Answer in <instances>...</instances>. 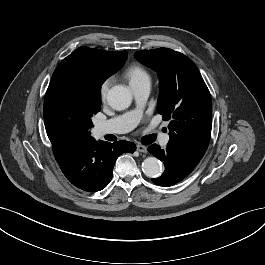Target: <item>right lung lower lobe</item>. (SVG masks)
<instances>
[{"label":"right lung lower lobe","instance_id":"obj_1","mask_svg":"<svg viewBox=\"0 0 265 265\" xmlns=\"http://www.w3.org/2000/svg\"><path fill=\"white\" fill-rule=\"evenodd\" d=\"M132 142L86 141L67 160L59 163L67 179L77 188L92 192L105 188L112 179L116 159L124 152L133 153Z\"/></svg>","mask_w":265,"mask_h":265}]
</instances>
